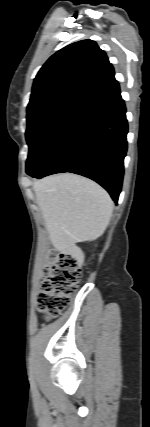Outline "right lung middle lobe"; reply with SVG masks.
I'll return each mask as SVG.
<instances>
[{
    "mask_svg": "<svg viewBox=\"0 0 150 427\" xmlns=\"http://www.w3.org/2000/svg\"><path fill=\"white\" fill-rule=\"evenodd\" d=\"M80 107L52 105L27 114L26 139L29 154L26 172L31 175L40 164L54 141Z\"/></svg>",
    "mask_w": 150,
    "mask_h": 427,
    "instance_id": "dd1d6c3e",
    "label": "right lung middle lobe"
}]
</instances>
